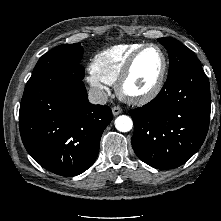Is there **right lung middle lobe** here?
Instances as JSON below:
<instances>
[{
    "instance_id": "1",
    "label": "right lung middle lobe",
    "mask_w": 221,
    "mask_h": 221,
    "mask_svg": "<svg viewBox=\"0 0 221 221\" xmlns=\"http://www.w3.org/2000/svg\"><path fill=\"white\" fill-rule=\"evenodd\" d=\"M83 48L80 43L62 44L44 54L37 62L31 78L48 77L61 79L67 76L84 78V68L80 66Z\"/></svg>"
}]
</instances>
